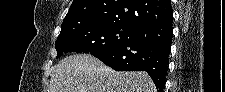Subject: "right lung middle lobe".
<instances>
[{"mask_svg":"<svg viewBox=\"0 0 225 92\" xmlns=\"http://www.w3.org/2000/svg\"><path fill=\"white\" fill-rule=\"evenodd\" d=\"M136 28L118 22H83L61 30L55 48L57 58L67 52L90 54L127 41Z\"/></svg>","mask_w":225,"mask_h":92,"instance_id":"right-lung-middle-lobe-1","label":"right lung middle lobe"}]
</instances>
